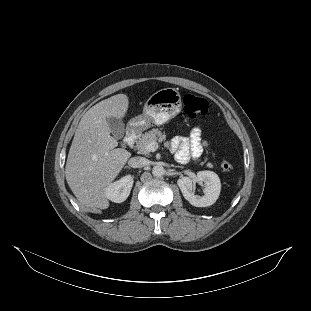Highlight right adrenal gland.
Wrapping results in <instances>:
<instances>
[{
  "mask_svg": "<svg viewBox=\"0 0 311 311\" xmlns=\"http://www.w3.org/2000/svg\"><path fill=\"white\" fill-rule=\"evenodd\" d=\"M125 168L131 169V168H130V167H128V166H125Z\"/></svg>",
  "mask_w": 311,
  "mask_h": 311,
  "instance_id": "right-adrenal-gland-1",
  "label": "right adrenal gland"
}]
</instances>
